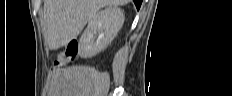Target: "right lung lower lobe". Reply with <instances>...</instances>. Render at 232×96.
Listing matches in <instances>:
<instances>
[{
  "mask_svg": "<svg viewBox=\"0 0 232 96\" xmlns=\"http://www.w3.org/2000/svg\"><path fill=\"white\" fill-rule=\"evenodd\" d=\"M133 2L135 3L137 9L139 10L141 3H142V0H133Z\"/></svg>",
  "mask_w": 232,
  "mask_h": 96,
  "instance_id": "98d812e1",
  "label": "right lung lower lobe"
}]
</instances>
